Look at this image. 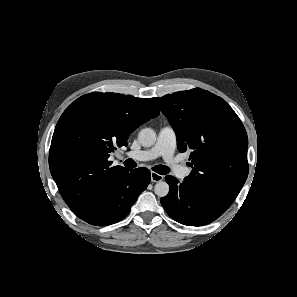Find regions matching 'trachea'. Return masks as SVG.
Wrapping results in <instances>:
<instances>
[{
	"label": "trachea",
	"instance_id": "1",
	"mask_svg": "<svg viewBox=\"0 0 297 297\" xmlns=\"http://www.w3.org/2000/svg\"><path fill=\"white\" fill-rule=\"evenodd\" d=\"M124 166L128 167V168H135L136 167V162L132 159H127L124 162ZM153 170L155 172H157L158 174L161 175H165L169 172V168L167 166L164 165H156L153 167Z\"/></svg>",
	"mask_w": 297,
	"mask_h": 297
}]
</instances>
